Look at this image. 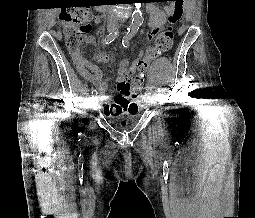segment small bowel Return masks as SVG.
<instances>
[{
  "mask_svg": "<svg viewBox=\"0 0 255 218\" xmlns=\"http://www.w3.org/2000/svg\"><path fill=\"white\" fill-rule=\"evenodd\" d=\"M182 9V1L178 5ZM175 4L168 5L163 9L158 8L153 4L147 5L146 9L148 12V25L149 32L147 34V42H150L153 37L159 32L161 26L163 25L166 16L172 14L175 10ZM149 49H147L146 53H140L138 58L133 62V64L128 67V61L123 59L120 63L118 70V77L116 78L117 82V94L113 97V99L106 103L104 107L105 114L113 113V110L118 105H122L129 100L127 94L120 88L121 85L127 84V78H130L136 74L138 71V64L140 61L146 60L147 66L151 59H147V53ZM98 61L104 64H107L110 61V57L107 54L99 53ZM83 74L86 79L91 82L96 88L97 93L99 94L100 101L105 100V93L108 91V78H105L101 69L94 63L83 59ZM127 76V77H126ZM144 76V73L142 77Z\"/></svg>",
  "mask_w": 255,
  "mask_h": 218,
  "instance_id": "1",
  "label": "small bowel"
}]
</instances>
